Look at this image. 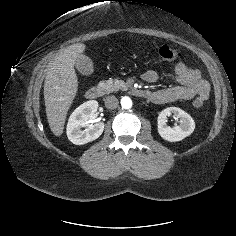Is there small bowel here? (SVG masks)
I'll list each match as a JSON object with an SVG mask.
<instances>
[{
	"mask_svg": "<svg viewBox=\"0 0 236 236\" xmlns=\"http://www.w3.org/2000/svg\"><path fill=\"white\" fill-rule=\"evenodd\" d=\"M173 78L178 83L177 86L147 91V97L157 104L191 100L195 97H201L205 101L209 97L208 82L198 70L188 67L184 62L176 64ZM142 79L147 83H155L160 79V75L155 70H147L142 74Z\"/></svg>",
	"mask_w": 236,
	"mask_h": 236,
	"instance_id": "1",
	"label": "small bowel"
}]
</instances>
